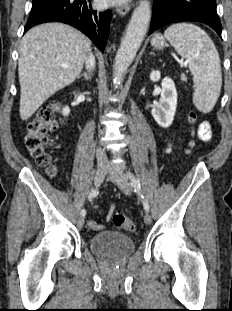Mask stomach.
I'll return each instance as SVG.
<instances>
[{
    "label": "stomach",
    "mask_w": 232,
    "mask_h": 311,
    "mask_svg": "<svg viewBox=\"0 0 232 311\" xmlns=\"http://www.w3.org/2000/svg\"><path fill=\"white\" fill-rule=\"evenodd\" d=\"M151 45L156 49H163L166 46V42L161 34H155L151 39Z\"/></svg>",
    "instance_id": "stomach-1"
}]
</instances>
